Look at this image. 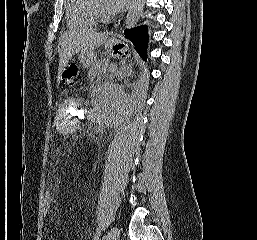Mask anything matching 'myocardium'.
I'll use <instances>...</instances> for the list:
<instances>
[{"instance_id":"myocardium-1","label":"myocardium","mask_w":257,"mask_h":240,"mask_svg":"<svg viewBox=\"0 0 257 240\" xmlns=\"http://www.w3.org/2000/svg\"><path fill=\"white\" fill-rule=\"evenodd\" d=\"M94 7L98 12L104 10L106 8L105 1L104 0H92Z\"/></svg>"}]
</instances>
